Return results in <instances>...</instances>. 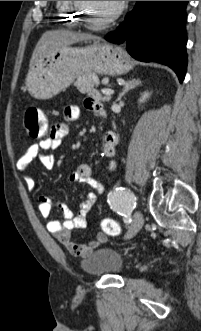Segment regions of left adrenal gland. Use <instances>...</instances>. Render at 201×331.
Masks as SVG:
<instances>
[{
	"label": "left adrenal gland",
	"instance_id": "obj_1",
	"mask_svg": "<svg viewBox=\"0 0 201 331\" xmlns=\"http://www.w3.org/2000/svg\"><path fill=\"white\" fill-rule=\"evenodd\" d=\"M140 84H141V81H140L139 79H131V80H129V81L125 84V86H124L122 92L119 94V96H118V98H117V101H120L121 98H122V97H123V96H124L129 90L135 88L136 86H138V85H140Z\"/></svg>",
	"mask_w": 201,
	"mask_h": 331
}]
</instances>
